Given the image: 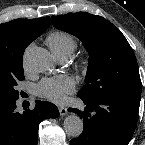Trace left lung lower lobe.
Returning <instances> with one entry per match:
<instances>
[{
    "instance_id": "0a47b994",
    "label": "left lung lower lobe",
    "mask_w": 145,
    "mask_h": 145,
    "mask_svg": "<svg viewBox=\"0 0 145 145\" xmlns=\"http://www.w3.org/2000/svg\"><path fill=\"white\" fill-rule=\"evenodd\" d=\"M85 110L69 108L83 119L84 129L70 145H128L137 125L141 93L89 100L77 95Z\"/></svg>"
}]
</instances>
